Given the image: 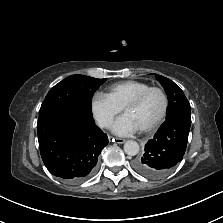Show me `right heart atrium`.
Returning <instances> with one entry per match:
<instances>
[{
  "label": "right heart atrium",
  "instance_id": "obj_1",
  "mask_svg": "<svg viewBox=\"0 0 223 223\" xmlns=\"http://www.w3.org/2000/svg\"><path fill=\"white\" fill-rule=\"evenodd\" d=\"M91 110L98 124L107 128L121 112V108L107 95L97 92L92 97Z\"/></svg>",
  "mask_w": 223,
  "mask_h": 223
}]
</instances>
